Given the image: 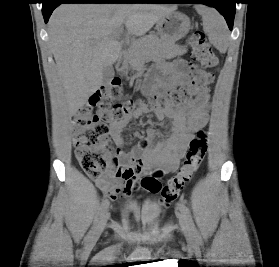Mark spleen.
<instances>
[{
  "instance_id": "1",
  "label": "spleen",
  "mask_w": 279,
  "mask_h": 267,
  "mask_svg": "<svg viewBox=\"0 0 279 267\" xmlns=\"http://www.w3.org/2000/svg\"><path fill=\"white\" fill-rule=\"evenodd\" d=\"M195 9L202 16L203 28L209 41L219 51H226L229 34L222 16L215 9L204 5H197Z\"/></svg>"
}]
</instances>
